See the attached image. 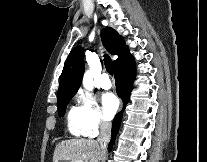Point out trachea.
I'll return each instance as SVG.
<instances>
[{
    "label": "trachea",
    "mask_w": 207,
    "mask_h": 162,
    "mask_svg": "<svg viewBox=\"0 0 207 162\" xmlns=\"http://www.w3.org/2000/svg\"><path fill=\"white\" fill-rule=\"evenodd\" d=\"M104 64H105V68L107 72L110 75H113V72H114L113 62H112V59L107 54H104Z\"/></svg>",
    "instance_id": "obj_1"
}]
</instances>
